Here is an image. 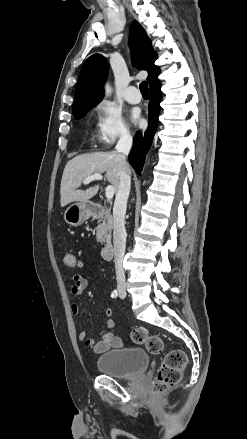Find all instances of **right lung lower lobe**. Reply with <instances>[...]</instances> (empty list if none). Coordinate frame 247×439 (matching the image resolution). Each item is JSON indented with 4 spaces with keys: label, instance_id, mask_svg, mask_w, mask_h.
Masks as SVG:
<instances>
[{
    "label": "right lung lower lobe",
    "instance_id": "1",
    "mask_svg": "<svg viewBox=\"0 0 247 439\" xmlns=\"http://www.w3.org/2000/svg\"><path fill=\"white\" fill-rule=\"evenodd\" d=\"M150 102H149V126L142 134L138 131L133 138V148L129 154V162L135 171L141 175L145 156L148 153L153 137L157 127V120L160 110L161 91L160 84H155L150 88Z\"/></svg>",
    "mask_w": 247,
    "mask_h": 439
}]
</instances>
